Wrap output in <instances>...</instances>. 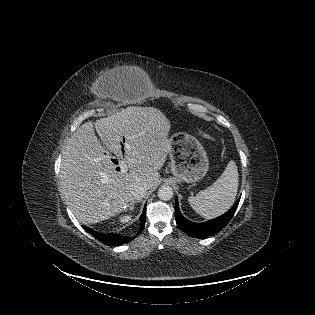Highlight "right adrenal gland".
<instances>
[{
	"mask_svg": "<svg viewBox=\"0 0 315 315\" xmlns=\"http://www.w3.org/2000/svg\"><path fill=\"white\" fill-rule=\"evenodd\" d=\"M137 202H139V201H132V202L128 205V207H129V209H130L131 211L134 209L135 204H136Z\"/></svg>",
	"mask_w": 315,
	"mask_h": 315,
	"instance_id": "1",
	"label": "right adrenal gland"
}]
</instances>
